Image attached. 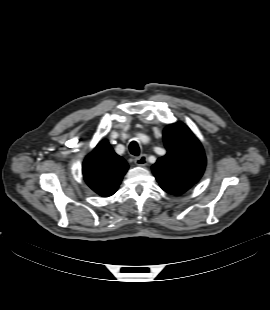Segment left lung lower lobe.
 <instances>
[{
	"label": "left lung lower lobe",
	"instance_id": "left-lung-lower-lobe-1",
	"mask_svg": "<svg viewBox=\"0 0 270 310\" xmlns=\"http://www.w3.org/2000/svg\"><path fill=\"white\" fill-rule=\"evenodd\" d=\"M171 194H173V195H180V194H182V193H171Z\"/></svg>",
	"mask_w": 270,
	"mask_h": 310
}]
</instances>
